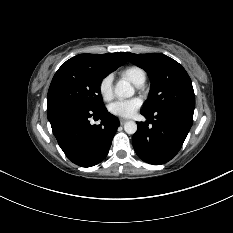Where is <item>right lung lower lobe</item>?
Listing matches in <instances>:
<instances>
[{
  "label": "right lung lower lobe",
  "instance_id": "98d812e1",
  "mask_svg": "<svg viewBox=\"0 0 233 233\" xmlns=\"http://www.w3.org/2000/svg\"><path fill=\"white\" fill-rule=\"evenodd\" d=\"M47 116L59 146L74 164L91 167L108 154L120 126L117 117L106 108L91 110L73 103L47 104ZM100 117L101 124L91 125L90 117Z\"/></svg>",
  "mask_w": 233,
  "mask_h": 233
}]
</instances>
